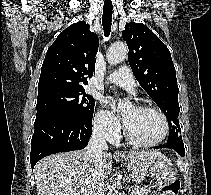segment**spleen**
<instances>
[{
	"label": "spleen",
	"mask_w": 211,
	"mask_h": 195,
	"mask_svg": "<svg viewBox=\"0 0 211 195\" xmlns=\"http://www.w3.org/2000/svg\"><path fill=\"white\" fill-rule=\"evenodd\" d=\"M177 165H178V168H179L180 171L184 170V163H183L182 160H178Z\"/></svg>",
	"instance_id": "3e777b00"
}]
</instances>
